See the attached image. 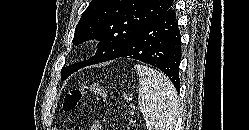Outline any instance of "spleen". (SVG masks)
<instances>
[{"mask_svg":"<svg viewBox=\"0 0 249 130\" xmlns=\"http://www.w3.org/2000/svg\"><path fill=\"white\" fill-rule=\"evenodd\" d=\"M135 69L140 84L138 104L147 130H173L179 111L175 87L156 69L139 64Z\"/></svg>","mask_w":249,"mask_h":130,"instance_id":"1","label":"spleen"}]
</instances>
